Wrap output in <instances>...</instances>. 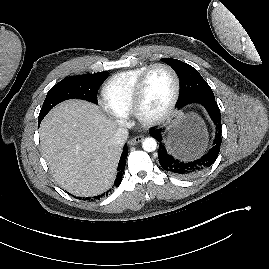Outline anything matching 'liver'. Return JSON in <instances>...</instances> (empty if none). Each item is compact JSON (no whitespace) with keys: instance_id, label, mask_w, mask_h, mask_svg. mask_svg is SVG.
<instances>
[{"instance_id":"liver-1","label":"liver","mask_w":269,"mask_h":269,"mask_svg":"<svg viewBox=\"0 0 269 269\" xmlns=\"http://www.w3.org/2000/svg\"><path fill=\"white\" fill-rule=\"evenodd\" d=\"M116 124L82 100L56 106L40 125L41 149L57 183L78 196H93L114 181L121 146L111 139Z\"/></svg>"}]
</instances>
